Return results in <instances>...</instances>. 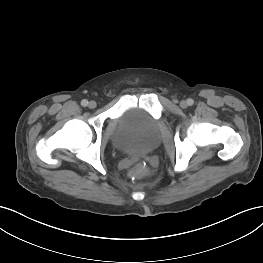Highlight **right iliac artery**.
Wrapping results in <instances>:
<instances>
[{"mask_svg":"<svg viewBox=\"0 0 263 263\" xmlns=\"http://www.w3.org/2000/svg\"><path fill=\"white\" fill-rule=\"evenodd\" d=\"M81 105H82L83 107H86V106L88 105V101H87L86 99L82 100V101H81Z\"/></svg>","mask_w":263,"mask_h":263,"instance_id":"1","label":"right iliac artery"}]
</instances>
